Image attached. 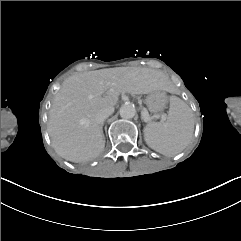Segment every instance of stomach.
Instances as JSON below:
<instances>
[{
  "label": "stomach",
  "instance_id": "0dacf381",
  "mask_svg": "<svg viewBox=\"0 0 241 241\" xmlns=\"http://www.w3.org/2000/svg\"><path fill=\"white\" fill-rule=\"evenodd\" d=\"M146 105L151 113L162 112L167 105V97L164 92L155 91L146 98Z\"/></svg>",
  "mask_w": 241,
  "mask_h": 241
}]
</instances>
